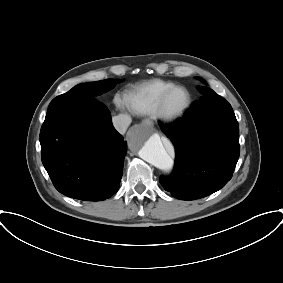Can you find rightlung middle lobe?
<instances>
[{"instance_id":"dd1d6c3e","label":"right lung middle lobe","mask_w":283,"mask_h":283,"mask_svg":"<svg viewBox=\"0 0 283 283\" xmlns=\"http://www.w3.org/2000/svg\"><path fill=\"white\" fill-rule=\"evenodd\" d=\"M121 81L122 80L106 79L103 81L79 84L67 93L54 98L48 107V111L58 106L76 105L94 100L96 96L111 90Z\"/></svg>"}]
</instances>
